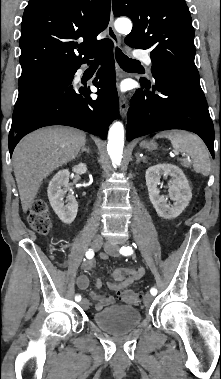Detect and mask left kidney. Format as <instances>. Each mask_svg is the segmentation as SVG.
<instances>
[{
	"instance_id": "left-kidney-1",
	"label": "left kidney",
	"mask_w": 221,
	"mask_h": 379,
	"mask_svg": "<svg viewBox=\"0 0 221 379\" xmlns=\"http://www.w3.org/2000/svg\"><path fill=\"white\" fill-rule=\"evenodd\" d=\"M161 176L172 177L169 190V198L173 201L172 205L159 195L157 186L160 184ZM145 178L150 201L158 216L164 219L176 218L188 206L192 192L185 174L179 167L172 164H157L147 169Z\"/></svg>"
}]
</instances>
